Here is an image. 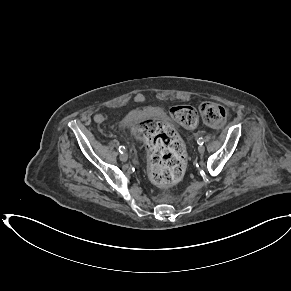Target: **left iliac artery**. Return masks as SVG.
<instances>
[{
	"instance_id": "obj_1",
	"label": "left iliac artery",
	"mask_w": 291,
	"mask_h": 291,
	"mask_svg": "<svg viewBox=\"0 0 291 291\" xmlns=\"http://www.w3.org/2000/svg\"><path fill=\"white\" fill-rule=\"evenodd\" d=\"M197 143L199 144V145H203V143H204V139L201 137V138H199L198 140H197Z\"/></svg>"
}]
</instances>
